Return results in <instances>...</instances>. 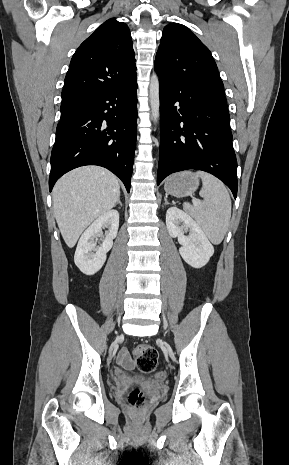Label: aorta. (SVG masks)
<instances>
[{"label": "aorta", "mask_w": 289, "mask_h": 465, "mask_svg": "<svg viewBox=\"0 0 289 465\" xmlns=\"http://www.w3.org/2000/svg\"><path fill=\"white\" fill-rule=\"evenodd\" d=\"M149 97L151 114L154 123H157L159 118L160 110V98H159V78L156 74H153L150 80Z\"/></svg>", "instance_id": "1"}]
</instances>
